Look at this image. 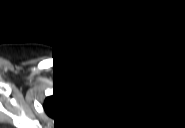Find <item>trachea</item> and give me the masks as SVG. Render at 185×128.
<instances>
[{"label": "trachea", "instance_id": "3493384b", "mask_svg": "<svg viewBox=\"0 0 185 128\" xmlns=\"http://www.w3.org/2000/svg\"><path fill=\"white\" fill-rule=\"evenodd\" d=\"M93 88V83L89 80H86L84 83H83V89L85 91H89Z\"/></svg>", "mask_w": 185, "mask_h": 128}]
</instances>
